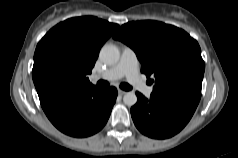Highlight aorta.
Masks as SVG:
<instances>
[{
    "label": "aorta",
    "mask_w": 238,
    "mask_h": 158,
    "mask_svg": "<svg viewBox=\"0 0 238 158\" xmlns=\"http://www.w3.org/2000/svg\"><path fill=\"white\" fill-rule=\"evenodd\" d=\"M100 59L106 63V64H116L119 59H120V51L119 49L113 45V44H105L99 53ZM123 102L127 105V106H133L136 104L137 102V96L135 94V92L130 91L125 93L124 97H123Z\"/></svg>",
    "instance_id": "aorta-1"
}]
</instances>
